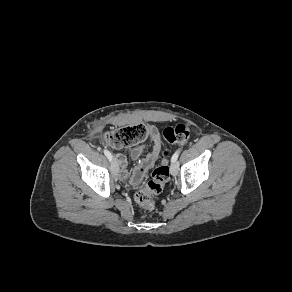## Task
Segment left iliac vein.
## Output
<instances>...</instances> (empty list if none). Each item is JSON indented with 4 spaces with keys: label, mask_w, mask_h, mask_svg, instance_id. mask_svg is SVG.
Returning <instances> with one entry per match:
<instances>
[{
    "label": "left iliac vein",
    "mask_w": 292,
    "mask_h": 292,
    "mask_svg": "<svg viewBox=\"0 0 292 292\" xmlns=\"http://www.w3.org/2000/svg\"><path fill=\"white\" fill-rule=\"evenodd\" d=\"M179 171V166L178 163L176 162H172L171 166H170V172L173 176H176L178 174Z\"/></svg>",
    "instance_id": "left-iliac-vein-1"
}]
</instances>
